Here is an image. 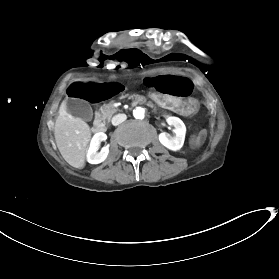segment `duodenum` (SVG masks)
Returning <instances> with one entry per match:
<instances>
[{
	"mask_svg": "<svg viewBox=\"0 0 279 279\" xmlns=\"http://www.w3.org/2000/svg\"><path fill=\"white\" fill-rule=\"evenodd\" d=\"M91 129L93 131H96V132H101V133H105L107 131V128L105 126H101V125H96V124H93L91 126Z\"/></svg>",
	"mask_w": 279,
	"mask_h": 279,
	"instance_id": "410a0bca",
	"label": "duodenum"
}]
</instances>
